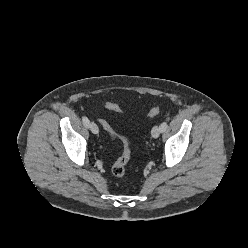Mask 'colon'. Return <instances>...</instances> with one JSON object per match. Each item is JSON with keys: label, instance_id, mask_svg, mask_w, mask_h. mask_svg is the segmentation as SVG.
<instances>
[{"label": "colon", "instance_id": "5ec220e1", "mask_svg": "<svg viewBox=\"0 0 248 248\" xmlns=\"http://www.w3.org/2000/svg\"><path fill=\"white\" fill-rule=\"evenodd\" d=\"M104 107L112 112L115 113H122L123 110L122 108L113 102H105ZM161 112V107L160 106H154L152 107L147 114L148 118H153L157 116ZM98 122L102 126V128L111 135L113 138H118L123 144V150L121 155L118 157V159L113 163L111 171L112 174L118 178H125L127 173H126V165L129 162L131 158V141L127 136H119L115 133L113 130L112 126L109 124L108 121L105 119H99Z\"/></svg>", "mask_w": 248, "mask_h": 248}]
</instances>
